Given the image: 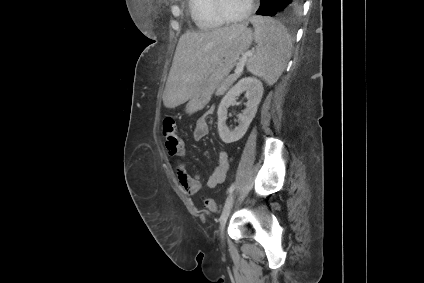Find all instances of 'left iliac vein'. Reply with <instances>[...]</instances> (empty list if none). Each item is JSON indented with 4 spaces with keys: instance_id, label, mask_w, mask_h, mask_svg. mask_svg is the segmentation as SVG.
<instances>
[{
    "instance_id": "4c4485c4",
    "label": "left iliac vein",
    "mask_w": 424,
    "mask_h": 283,
    "mask_svg": "<svg viewBox=\"0 0 424 283\" xmlns=\"http://www.w3.org/2000/svg\"><path fill=\"white\" fill-rule=\"evenodd\" d=\"M233 204H234V195H230L228 200L225 203L222 214L220 216V236H221V238H223V236H224L225 224H226V221L229 217V214L231 212Z\"/></svg>"
}]
</instances>
